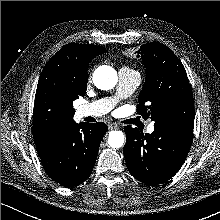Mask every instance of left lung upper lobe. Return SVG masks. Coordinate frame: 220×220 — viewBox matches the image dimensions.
Segmentation results:
<instances>
[{
	"mask_svg": "<svg viewBox=\"0 0 220 220\" xmlns=\"http://www.w3.org/2000/svg\"><path fill=\"white\" fill-rule=\"evenodd\" d=\"M146 68L145 84L138 98V114L151 118L154 126L176 122L193 128L194 102L184 66L159 42L142 45L138 51Z\"/></svg>",
	"mask_w": 220,
	"mask_h": 220,
	"instance_id": "left-lung-upper-lobe-1",
	"label": "left lung upper lobe"
}]
</instances>
